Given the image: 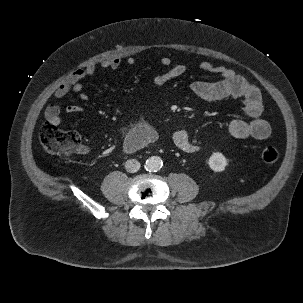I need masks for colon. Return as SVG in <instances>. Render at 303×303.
I'll use <instances>...</instances> for the list:
<instances>
[{
    "label": "colon",
    "mask_w": 303,
    "mask_h": 303,
    "mask_svg": "<svg viewBox=\"0 0 303 303\" xmlns=\"http://www.w3.org/2000/svg\"><path fill=\"white\" fill-rule=\"evenodd\" d=\"M42 146L51 154L73 157L80 151L81 138L71 130H63L50 123H45L39 133ZM266 163H274L279 158V152L274 146H266L261 153Z\"/></svg>",
    "instance_id": "obj_1"
}]
</instances>
